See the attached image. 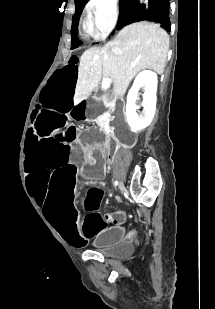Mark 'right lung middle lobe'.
<instances>
[{"mask_svg":"<svg viewBox=\"0 0 215 309\" xmlns=\"http://www.w3.org/2000/svg\"><path fill=\"white\" fill-rule=\"evenodd\" d=\"M87 1L88 0H77V2H75L76 12L74 15L73 26L71 29V35H72L71 49L77 48L81 44L77 39V25H78L79 18L82 13L83 7L87 3ZM132 1L133 0H120L119 2L120 14Z\"/></svg>","mask_w":215,"mask_h":309,"instance_id":"1","label":"right lung middle lobe"}]
</instances>
